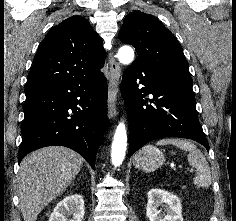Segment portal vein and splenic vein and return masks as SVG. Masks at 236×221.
<instances>
[{"instance_id": "1", "label": "portal vein and splenic vein", "mask_w": 236, "mask_h": 221, "mask_svg": "<svg viewBox=\"0 0 236 221\" xmlns=\"http://www.w3.org/2000/svg\"><path fill=\"white\" fill-rule=\"evenodd\" d=\"M189 171H190V172H193L194 170L191 168V169H189Z\"/></svg>"}]
</instances>
